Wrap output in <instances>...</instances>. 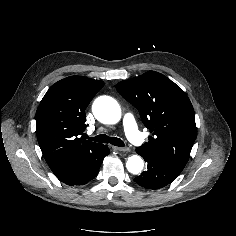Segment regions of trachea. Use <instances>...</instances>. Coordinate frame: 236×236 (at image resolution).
<instances>
[{
	"label": "trachea",
	"instance_id": "obj_1",
	"mask_svg": "<svg viewBox=\"0 0 236 236\" xmlns=\"http://www.w3.org/2000/svg\"><path fill=\"white\" fill-rule=\"evenodd\" d=\"M91 140L95 142H100V143H111L114 146H119V147H124V142L117 138V137H109L105 134L98 135L96 137L90 138Z\"/></svg>",
	"mask_w": 236,
	"mask_h": 236
}]
</instances>
